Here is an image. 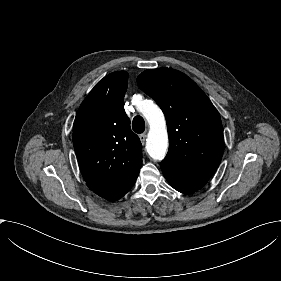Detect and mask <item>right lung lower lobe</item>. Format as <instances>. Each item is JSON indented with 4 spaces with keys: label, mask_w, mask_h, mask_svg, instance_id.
Listing matches in <instances>:
<instances>
[{
    "label": "right lung lower lobe",
    "mask_w": 281,
    "mask_h": 281,
    "mask_svg": "<svg viewBox=\"0 0 281 281\" xmlns=\"http://www.w3.org/2000/svg\"><path fill=\"white\" fill-rule=\"evenodd\" d=\"M141 168V167H140ZM140 168L137 169L133 175L115 192L113 193L110 197L106 198L109 201H116L123 197L134 185L137 176L139 174Z\"/></svg>",
    "instance_id": "98d812e1"
}]
</instances>
